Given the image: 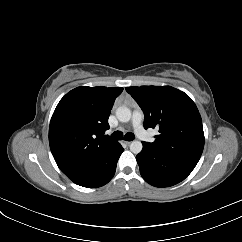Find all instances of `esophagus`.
I'll list each match as a JSON object with an SVG mask.
<instances>
[{"mask_svg": "<svg viewBox=\"0 0 242 242\" xmlns=\"http://www.w3.org/2000/svg\"><path fill=\"white\" fill-rule=\"evenodd\" d=\"M123 143L126 144V145H130L131 141H123Z\"/></svg>", "mask_w": 242, "mask_h": 242, "instance_id": "obj_1", "label": "esophagus"}]
</instances>
